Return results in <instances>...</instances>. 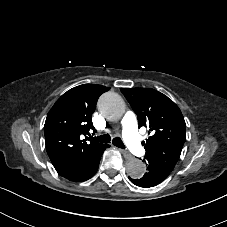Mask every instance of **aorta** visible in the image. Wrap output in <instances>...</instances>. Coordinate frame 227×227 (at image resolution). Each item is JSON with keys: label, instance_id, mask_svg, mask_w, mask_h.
<instances>
[{"label": "aorta", "instance_id": "1", "mask_svg": "<svg viewBox=\"0 0 227 227\" xmlns=\"http://www.w3.org/2000/svg\"><path fill=\"white\" fill-rule=\"evenodd\" d=\"M99 111L108 119L121 117L125 112V102L120 95L114 92L104 93L98 101ZM128 176L141 178L146 171L145 164L137 158L130 159L126 164Z\"/></svg>", "mask_w": 227, "mask_h": 227}]
</instances>
